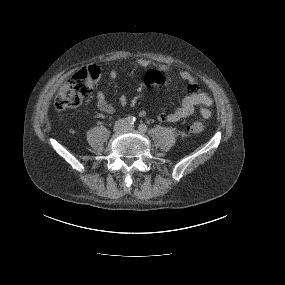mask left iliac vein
I'll return each instance as SVG.
<instances>
[{
    "label": "left iliac vein",
    "instance_id": "obj_1",
    "mask_svg": "<svg viewBox=\"0 0 285 285\" xmlns=\"http://www.w3.org/2000/svg\"><path fill=\"white\" fill-rule=\"evenodd\" d=\"M126 129H127V130H133V129H134V126H133V125H130V124H127Z\"/></svg>",
    "mask_w": 285,
    "mask_h": 285
}]
</instances>
